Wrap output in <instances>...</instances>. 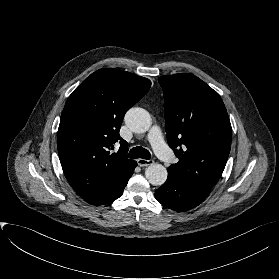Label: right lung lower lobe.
I'll return each mask as SVG.
<instances>
[{
	"label": "right lung lower lobe",
	"mask_w": 279,
	"mask_h": 279,
	"mask_svg": "<svg viewBox=\"0 0 279 279\" xmlns=\"http://www.w3.org/2000/svg\"><path fill=\"white\" fill-rule=\"evenodd\" d=\"M132 174H133V172H132ZM131 175L125 180V182L121 185V187L119 189H117L114 193L110 194L107 198H104L101 201L95 203V205L106 204V203L112 202V201L116 200L117 198H119L122 195L123 190L129 180V178L131 177Z\"/></svg>",
	"instance_id": "obj_1"
}]
</instances>
